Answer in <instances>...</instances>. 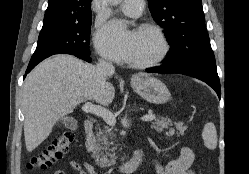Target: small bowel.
Returning <instances> with one entry per match:
<instances>
[{
	"mask_svg": "<svg viewBox=\"0 0 249 174\" xmlns=\"http://www.w3.org/2000/svg\"><path fill=\"white\" fill-rule=\"evenodd\" d=\"M194 161V154L188 147H181L179 157L167 165H163L158 159L153 158L152 162L157 174H195L192 170V164ZM69 167L77 171L79 174H96L94 169L88 163H79L75 160H71L68 163ZM86 170V171H85ZM53 174H66L62 170H56Z\"/></svg>",
	"mask_w": 249,
	"mask_h": 174,
	"instance_id": "c3829d8e",
	"label": "small bowel"
}]
</instances>
